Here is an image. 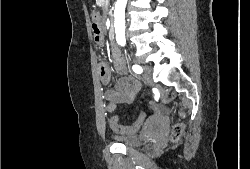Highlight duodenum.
Masks as SVG:
<instances>
[{
	"mask_svg": "<svg viewBox=\"0 0 250 169\" xmlns=\"http://www.w3.org/2000/svg\"><path fill=\"white\" fill-rule=\"evenodd\" d=\"M108 33H109V39H110V41L111 42L115 41L116 40V35H115V28H114L113 25H110Z\"/></svg>",
	"mask_w": 250,
	"mask_h": 169,
	"instance_id": "410a0bca",
	"label": "duodenum"
}]
</instances>
